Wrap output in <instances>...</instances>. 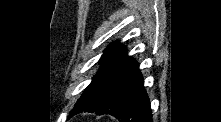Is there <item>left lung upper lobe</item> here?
<instances>
[{
  "label": "left lung upper lobe",
  "mask_w": 221,
  "mask_h": 122,
  "mask_svg": "<svg viewBox=\"0 0 221 122\" xmlns=\"http://www.w3.org/2000/svg\"><path fill=\"white\" fill-rule=\"evenodd\" d=\"M125 51L126 47L119 42H114L109 45L99 61L102 63L101 68L97 72L96 76L93 77L92 82L86 88L72 112L83 105L98 90L108 75L117 66Z\"/></svg>",
  "instance_id": "obj_1"
}]
</instances>
